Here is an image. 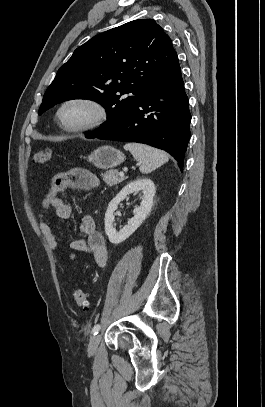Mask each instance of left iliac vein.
I'll return each instance as SVG.
<instances>
[{
    "label": "left iliac vein",
    "instance_id": "4c4485c4",
    "mask_svg": "<svg viewBox=\"0 0 265 407\" xmlns=\"http://www.w3.org/2000/svg\"><path fill=\"white\" fill-rule=\"evenodd\" d=\"M100 339H101L100 334H96V335L91 336V338L89 339V345H88V351L90 353H95L96 352V350L98 348V345H99V342H100Z\"/></svg>",
    "mask_w": 265,
    "mask_h": 407
}]
</instances>
